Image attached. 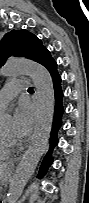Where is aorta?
<instances>
[{
    "label": "aorta",
    "instance_id": "aorta-1",
    "mask_svg": "<svg viewBox=\"0 0 89 203\" xmlns=\"http://www.w3.org/2000/svg\"><path fill=\"white\" fill-rule=\"evenodd\" d=\"M4 77L28 75L32 78L38 96V110L31 143L10 180L7 203H18L23 190L33 175L42 155L47 149L54 114L55 94L49 71L39 63L26 59H10L3 66ZM12 117L7 112L0 115V124L5 126Z\"/></svg>",
    "mask_w": 89,
    "mask_h": 203
}]
</instances>
